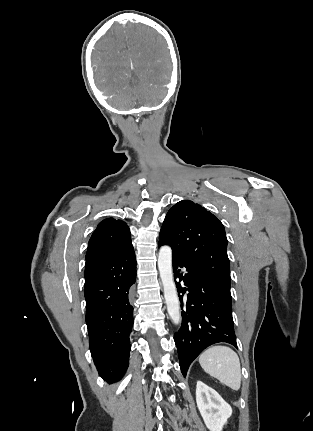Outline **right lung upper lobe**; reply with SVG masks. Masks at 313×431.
<instances>
[{
  "instance_id": "cb5924a9",
  "label": "right lung upper lobe",
  "mask_w": 313,
  "mask_h": 431,
  "mask_svg": "<svg viewBox=\"0 0 313 431\" xmlns=\"http://www.w3.org/2000/svg\"><path fill=\"white\" fill-rule=\"evenodd\" d=\"M132 244L130 230L125 222L108 218L101 221L92 234L86 253V261L114 254Z\"/></svg>"
}]
</instances>
